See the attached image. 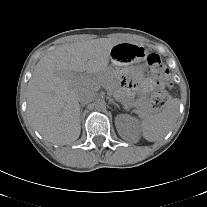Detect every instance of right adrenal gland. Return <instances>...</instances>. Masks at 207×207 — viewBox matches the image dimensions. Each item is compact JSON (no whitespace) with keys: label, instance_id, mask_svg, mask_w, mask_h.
<instances>
[{"label":"right adrenal gland","instance_id":"obj_1","mask_svg":"<svg viewBox=\"0 0 207 207\" xmlns=\"http://www.w3.org/2000/svg\"><path fill=\"white\" fill-rule=\"evenodd\" d=\"M85 106V104H81L80 105V113H82L83 107Z\"/></svg>","mask_w":207,"mask_h":207}]
</instances>
